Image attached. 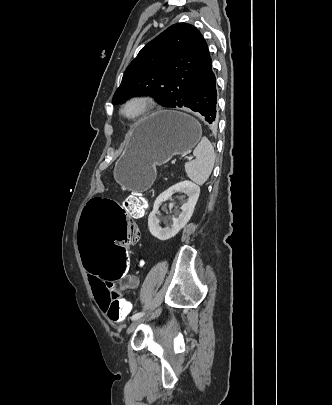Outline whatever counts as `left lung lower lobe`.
I'll use <instances>...</instances> for the list:
<instances>
[{
  "instance_id": "1",
  "label": "left lung lower lobe",
  "mask_w": 332,
  "mask_h": 405,
  "mask_svg": "<svg viewBox=\"0 0 332 405\" xmlns=\"http://www.w3.org/2000/svg\"><path fill=\"white\" fill-rule=\"evenodd\" d=\"M217 89L215 74L212 71L211 58L199 73L187 105L184 107L199 113L209 124L218 122Z\"/></svg>"
}]
</instances>
